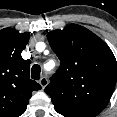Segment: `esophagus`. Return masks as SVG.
<instances>
[{
  "instance_id": "34e87169",
  "label": "esophagus",
  "mask_w": 117,
  "mask_h": 117,
  "mask_svg": "<svg viewBox=\"0 0 117 117\" xmlns=\"http://www.w3.org/2000/svg\"><path fill=\"white\" fill-rule=\"evenodd\" d=\"M39 84H40L41 87L44 89V88L48 85V79H47V77L43 76V77L39 80Z\"/></svg>"
}]
</instances>
